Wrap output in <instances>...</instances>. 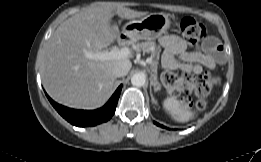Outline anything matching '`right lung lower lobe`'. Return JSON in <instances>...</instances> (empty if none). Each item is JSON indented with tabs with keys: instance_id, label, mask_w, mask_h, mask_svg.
I'll return each mask as SVG.
<instances>
[{
	"instance_id": "obj_1",
	"label": "right lung lower lobe",
	"mask_w": 261,
	"mask_h": 162,
	"mask_svg": "<svg viewBox=\"0 0 261 162\" xmlns=\"http://www.w3.org/2000/svg\"><path fill=\"white\" fill-rule=\"evenodd\" d=\"M121 89L122 85L117 88L115 93L102 108L91 111L71 109L56 103L47 94L46 96L57 112L72 125L90 127L106 122L113 116Z\"/></svg>"
}]
</instances>
